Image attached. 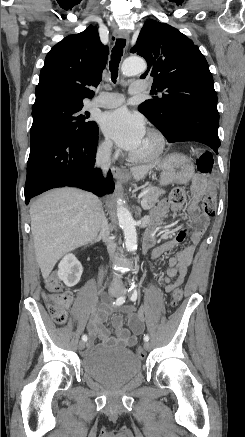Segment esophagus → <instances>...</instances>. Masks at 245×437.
<instances>
[{
  "mask_svg": "<svg viewBox=\"0 0 245 437\" xmlns=\"http://www.w3.org/2000/svg\"><path fill=\"white\" fill-rule=\"evenodd\" d=\"M115 35H116V37H118L120 39H124L127 42H129V34L126 31H124V30H117L115 32ZM111 170H112V173H113L114 177L117 178V179L124 176L123 171L120 168L116 167V166H113L111 168Z\"/></svg>",
  "mask_w": 245,
  "mask_h": 437,
  "instance_id": "34e87169",
  "label": "esophagus"
}]
</instances>
